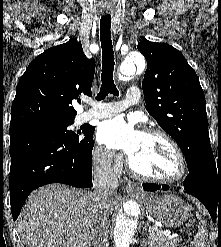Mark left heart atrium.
<instances>
[{
    "label": "left heart atrium",
    "instance_id": "1",
    "mask_svg": "<svg viewBox=\"0 0 221 247\" xmlns=\"http://www.w3.org/2000/svg\"><path fill=\"white\" fill-rule=\"evenodd\" d=\"M143 134L122 117H116L99 126L97 140L109 148L122 150L130 156L136 150Z\"/></svg>",
    "mask_w": 221,
    "mask_h": 247
}]
</instances>
